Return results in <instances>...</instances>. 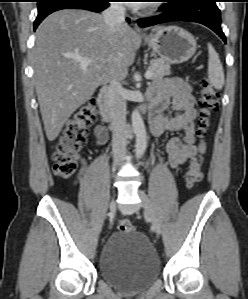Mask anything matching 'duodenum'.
<instances>
[{"label": "duodenum", "instance_id": "obj_1", "mask_svg": "<svg viewBox=\"0 0 248 299\" xmlns=\"http://www.w3.org/2000/svg\"><path fill=\"white\" fill-rule=\"evenodd\" d=\"M111 92V86L105 85L101 88L97 98V104L100 110V115L104 122H110L114 115ZM143 108L146 109V107Z\"/></svg>", "mask_w": 248, "mask_h": 299}]
</instances>
